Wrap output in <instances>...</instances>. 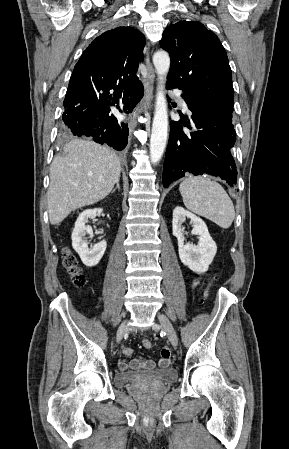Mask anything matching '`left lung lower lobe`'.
Returning a JSON list of instances; mask_svg holds the SVG:
<instances>
[{"mask_svg": "<svg viewBox=\"0 0 289 449\" xmlns=\"http://www.w3.org/2000/svg\"><path fill=\"white\" fill-rule=\"evenodd\" d=\"M167 88L183 90V99L192 112L190 120L172 121L163 170V185L186 174H208L219 177L230 186L237 183V169L231 154L236 141L232 119L212 112L196 99L192 91L168 81ZM183 124V125H182ZM183 126L192 132L185 133Z\"/></svg>", "mask_w": 289, "mask_h": 449, "instance_id": "1", "label": "left lung lower lobe"}]
</instances>
